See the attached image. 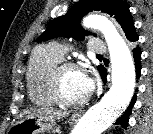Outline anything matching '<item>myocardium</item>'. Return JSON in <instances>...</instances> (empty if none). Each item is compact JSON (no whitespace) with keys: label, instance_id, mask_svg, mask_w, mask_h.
<instances>
[{"label":"myocardium","instance_id":"obj_1","mask_svg":"<svg viewBox=\"0 0 153 134\" xmlns=\"http://www.w3.org/2000/svg\"><path fill=\"white\" fill-rule=\"evenodd\" d=\"M66 70H78L85 73V68L73 61H61L53 67L50 73V87L56 101L64 106L77 107L86 103L87 97L74 101L67 99L62 92V75Z\"/></svg>","mask_w":153,"mask_h":134}]
</instances>
